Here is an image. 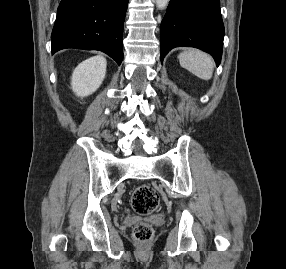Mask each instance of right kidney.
I'll return each mask as SVG.
<instances>
[{
	"instance_id": "right-kidney-1",
	"label": "right kidney",
	"mask_w": 286,
	"mask_h": 269,
	"mask_svg": "<svg viewBox=\"0 0 286 269\" xmlns=\"http://www.w3.org/2000/svg\"><path fill=\"white\" fill-rule=\"evenodd\" d=\"M107 62L103 56L91 57L80 63L73 71L71 87L79 97L94 93L105 78Z\"/></svg>"
}]
</instances>
